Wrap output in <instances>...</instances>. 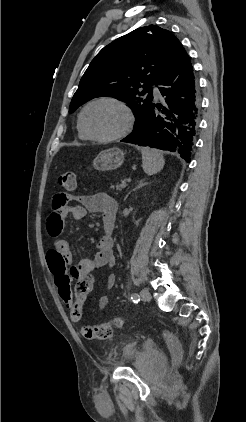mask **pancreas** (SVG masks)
<instances>
[{
    "instance_id": "cf45deb5",
    "label": "pancreas",
    "mask_w": 246,
    "mask_h": 422,
    "mask_svg": "<svg viewBox=\"0 0 246 422\" xmlns=\"http://www.w3.org/2000/svg\"><path fill=\"white\" fill-rule=\"evenodd\" d=\"M126 185H127V184H126V183H125V181H124V182H122V184H120V185H119V184H117V185H116V188H117V189H121V188L126 187ZM111 188H114V186H111Z\"/></svg>"
}]
</instances>
